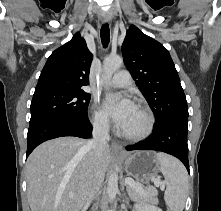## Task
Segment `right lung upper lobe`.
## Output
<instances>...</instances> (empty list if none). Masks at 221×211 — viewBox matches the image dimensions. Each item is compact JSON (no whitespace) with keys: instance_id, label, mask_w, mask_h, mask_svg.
I'll list each match as a JSON object with an SVG mask.
<instances>
[{"instance_id":"obj_1","label":"right lung upper lobe","mask_w":221,"mask_h":211,"mask_svg":"<svg viewBox=\"0 0 221 211\" xmlns=\"http://www.w3.org/2000/svg\"><path fill=\"white\" fill-rule=\"evenodd\" d=\"M92 58L85 40L76 33L49 56L35 92L48 89L83 90L88 84Z\"/></svg>"}]
</instances>
